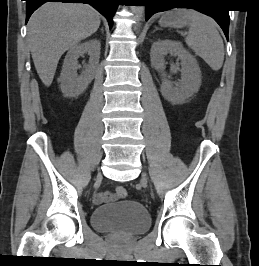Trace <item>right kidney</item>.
Returning <instances> with one entry per match:
<instances>
[{"instance_id":"1","label":"right kidney","mask_w":259,"mask_h":266,"mask_svg":"<svg viewBox=\"0 0 259 266\" xmlns=\"http://www.w3.org/2000/svg\"><path fill=\"white\" fill-rule=\"evenodd\" d=\"M100 49V41L97 39H90L75 45L68 51L59 79L61 91L65 96L77 97L87 89L94 78L99 63ZM84 54L90 56L89 64L82 71L81 75H78L77 70L80 68L78 58Z\"/></svg>"}]
</instances>
